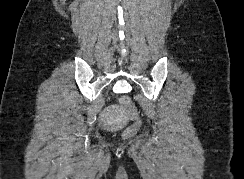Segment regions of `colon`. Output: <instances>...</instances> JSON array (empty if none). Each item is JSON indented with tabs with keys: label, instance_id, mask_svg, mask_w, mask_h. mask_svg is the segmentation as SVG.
<instances>
[{
	"label": "colon",
	"instance_id": "1",
	"mask_svg": "<svg viewBox=\"0 0 244 179\" xmlns=\"http://www.w3.org/2000/svg\"><path fill=\"white\" fill-rule=\"evenodd\" d=\"M118 101L127 109L128 115L132 116V121H135V125H128L126 132L123 133V138H135V133H140V125L143 123L141 120L142 113L137 107H134V102L129 99V96H118Z\"/></svg>",
	"mask_w": 244,
	"mask_h": 179
}]
</instances>
